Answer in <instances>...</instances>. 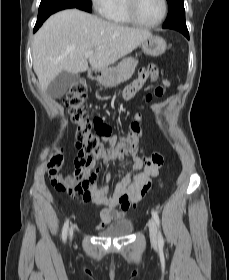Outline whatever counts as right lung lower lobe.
I'll use <instances>...</instances> for the list:
<instances>
[{
    "instance_id": "right-lung-lower-lobe-1",
    "label": "right lung lower lobe",
    "mask_w": 229,
    "mask_h": 280,
    "mask_svg": "<svg viewBox=\"0 0 229 280\" xmlns=\"http://www.w3.org/2000/svg\"><path fill=\"white\" fill-rule=\"evenodd\" d=\"M68 8H78L80 10H84L87 12H92L90 6L85 5L80 2H72L68 0L47 3L39 6L37 22L35 24L33 32H36L39 27L43 24V22L53 13L58 12L60 10L68 9Z\"/></svg>"
}]
</instances>
